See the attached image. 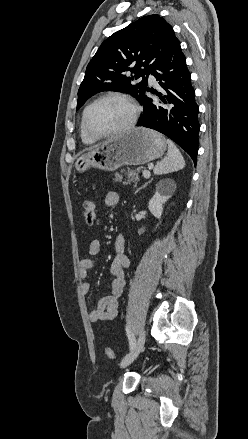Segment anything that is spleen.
Listing matches in <instances>:
<instances>
[{
	"mask_svg": "<svg viewBox=\"0 0 248 439\" xmlns=\"http://www.w3.org/2000/svg\"><path fill=\"white\" fill-rule=\"evenodd\" d=\"M167 144V155L154 168L156 175L179 171L185 166V160L176 145L171 140H167Z\"/></svg>",
	"mask_w": 248,
	"mask_h": 439,
	"instance_id": "spleen-1",
	"label": "spleen"
}]
</instances>
